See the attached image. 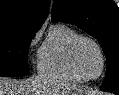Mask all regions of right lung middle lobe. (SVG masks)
<instances>
[{
	"label": "right lung middle lobe",
	"mask_w": 119,
	"mask_h": 95,
	"mask_svg": "<svg viewBox=\"0 0 119 95\" xmlns=\"http://www.w3.org/2000/svg\"><path fill=\"white\" fill-rule=\"evenodd\" d=\"M39 29L13 27L0 33V76H25L29 74L28 48Z\"/></svg>",
	"instance_id": "obj_1"
}]
</instances>
